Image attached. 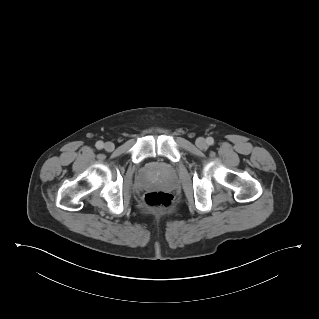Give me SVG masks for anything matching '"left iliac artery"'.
Returning <instances> with one entry per match:
<instances>
[{
  "instance_id": "left-iliac-artery-1",
  "label": "left iliac artery",
  "mask_w": 319,
  "mask_h": 319,
  "mask_svg": "<svg viewBox=\"0 0 319 319\" xmlns=\"http://www.w3.org/2000/svg\"><path fill=\"white\" fill-rule=\"evenodd\" d=\"M207 143L208 145H213L214 144V139L212 137L207 138Z\"/></svg>"
}]
</instances>
